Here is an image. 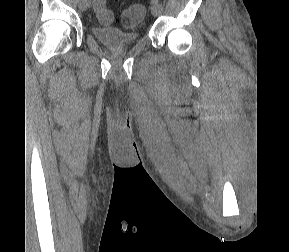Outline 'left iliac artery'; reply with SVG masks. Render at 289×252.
<instances>
[{
	"instance_id": "obj_1",
	"label": "left iliac artery",
	"mask_w": 289,
	"mask_h": 252,
	"mask_svg": "<svg viewBox=\"0 0 289 252\" xmlns=\"http://www.w3.org/2000/svg\"><path fill=\"white\" fill-rule=\"evenodd\" d=\"M152 3H158L159 0H151Z\"/></svg>"
}]
</instances>
